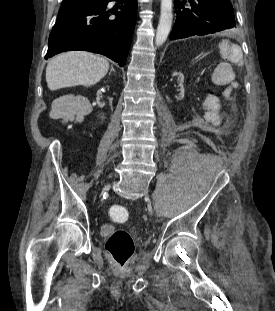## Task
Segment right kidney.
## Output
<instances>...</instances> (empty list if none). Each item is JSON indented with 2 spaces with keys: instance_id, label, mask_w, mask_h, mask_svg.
<instances>
[{
  "instance_id": "right-kidney-1",
  "label": "right kidney",
  "mask_w": 275,
  "mask_h": 311,
  "mask_svg": "<svg viewBox=\"0 0 275 311\" xmlns=\"http://www.w3.org/2000/svg\"><path fill=\"white\" fill-rule=\"evenodd\" d=\"M109 87H98L95 102L100 108L107 106L105 97H114V90H107Z\"/></svg>"
}]
</instances>
